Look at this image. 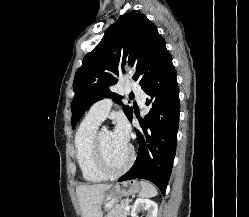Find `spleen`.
<instances>
[{
    "instance_id": "spleen-1",
    "label": "spleen",
    "mask_w": 249,
    "mask_h": 217,
    "mask_svg": "<svg viewBox=\"0 0 249 217\" xmlns=\"http://www.w3.org/2000/svg\"><path fill=\"white\" fill-rule=\"evenodd\" d=\"M141 191L139 193V196L141 197H153L158 194L156 188L149 182L141 181Z\"/></svg>"
}]
</instances>
